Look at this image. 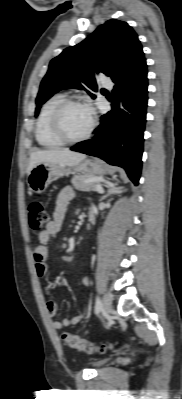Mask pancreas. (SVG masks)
I'll return each instance as SVG.
<instances>
[{
    "instance_id": "cf45deb5",
    "label": "pancreas",
    "mask_w": 182,
    "mask_h": 399,
    "mask_svg": "<svg viewBox=\"0 0 182 399\" xmlns=\"http://www.w3.org/2000/svg\"><path fill=\"white\" fill-rule=\"evenodd\" d=\"M93 176L83 174V175H75L71 179V183L73 184L74 188L80 191H94L95 186L98 184V181L89 182Z\"/></svg>"
}]
</instances>
